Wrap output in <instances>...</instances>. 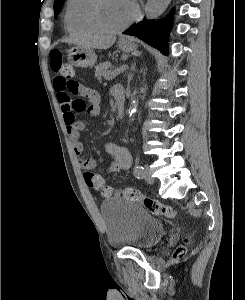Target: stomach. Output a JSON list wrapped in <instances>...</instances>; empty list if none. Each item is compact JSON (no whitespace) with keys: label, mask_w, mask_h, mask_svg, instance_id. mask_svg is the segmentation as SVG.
<instances>
[{"label":"stomach","mask_w":245,"mask_h":300,"mask_svg":"<svg viewBox=\"0 0 245 300\" xmlns=\"http://www.w3.org/2000/svg\"><path fill=\"white\" fill-rule=\"evenodd\" d=\"M119 48L124 52L135 51L137 45L133 38L124 37L121 38L118 42ZM67 55V59L74 66L77 67H92L95 65L97 61V56L93 49L90 48H82V47H73L69 49Z\"/></svg>","instance_id":"0dacf381"}]
</instances>
